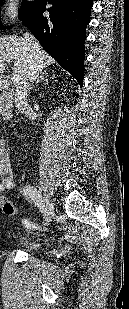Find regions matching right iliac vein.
<instances>
[{
	"label": "right iliac vein",
	"instance_id": "63e3f726",
	"mask_svg": "<svg viewBox=\"0 0 129 309\" xmlns=\"http://www.w3.org/2000/svg\"><path fill=\"white\" fill-rule=\"evenodd\" d=\"M45 206H46V220H48V219H50L51 217H50V215H52V211H53V207H52V205L50 204V202H49V199H48V196H46L45 197Z\"/></svg>",
	"mask_w": 129,
	"mask_h": 309
}]
</instances>
